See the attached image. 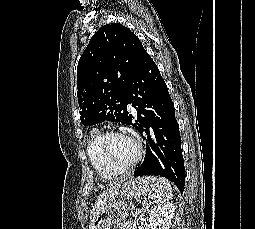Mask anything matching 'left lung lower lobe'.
<instances>
[{
    "label": "left lung lower lobe",
    "mask_w": 255,
    "mask_h": 229,
    "mask_svg": "<svg viewBox=\"0 0 255 229\" xmlns=\"http://www.w3.org/2000/svg\"><path fill=\"white\" fill-rule=\"evenodd\" d=\"M123 100L126 107L130 103L137 110L135 123L128 112L127 124L135 127L146 141L145 159L136 167L134 176L165 177L182 193L185 167L174 105L158 67L146 50L124 90Z\"/></svg>",
    "instance_id": "0a47b994"
}]
</instances>
